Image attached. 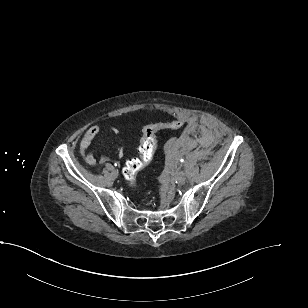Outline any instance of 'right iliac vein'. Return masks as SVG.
Masks as SVG:
<instances>
[{
    "label": "right iliac vein",
    "instance_id": "obj_1",
    "mask_svg": "<svg viewBox=\"0 0 308 308\" xmlns=\"http://www.w3.org/2000/svg\"><path fill=\"white\" fill-rule=\"evenodd\" d=\"M116 175H118V170H115Z\"/></svg>",
    "mask_w": 308,
    "mask_h": 308
}]
</instances>
